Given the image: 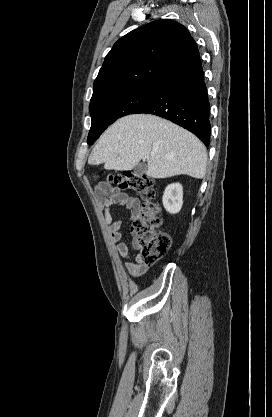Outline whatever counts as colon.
Instances as JSON below:
<instances>
[{
	"label": "colon",
	"instance_id": "5ec220e1",
	"mask_svg": "<svg viewBox=\"0 0 272 417\" xmlns=\"http://www.w3.org/2000/svg\"><path fill=\"white\" fill-rule=\"evenodd\" d=\"M108 180L119 189L136 192L143 199L141 211L131 224V233L137 240L142 264H155L169 250L171 238L167 233L158 230L161 218L160 207L154 201V181L148 176L127 171L110 175Z\"/></svg>",
	"mask_w": 272,
	"mask_h": 417
}]
</instances>
